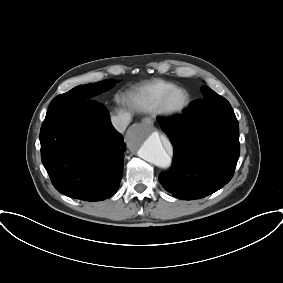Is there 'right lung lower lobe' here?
Listing matches in <instances>:
<instances>
[{
    "mask_svg": "<svg viewBox=\"0 0 283 283\" xmlns=\"http://www.w3.org/2000/svg\"><path fill=\"white\" fill-rule=\"evenodd\" d=\"M123 141L102 104L92 100L57 104L48 109L41 126V160L60 193L101 201L118 190Z\"/></svg>",
    "mask_w": 283,
    "mask_h": 283,
    "instance_id": "obj_1",
    "label": "right lung lower lobe"
}]
</instances>
